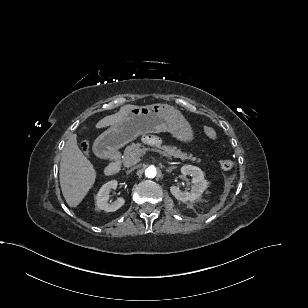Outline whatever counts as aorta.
<instances>
[{"instance_id":"aorta-1","label":"aorta","mask_w":308,"mask_h":308,"mask_svg":"<svg viewBox=\"0 0 308 308\" xmlns=\"http://www.w3.org/2000/svg\"><path fill=\"white\" fill-rule=\"evenodd\" d=\"M157 174L155 166H149L145 170V176L148 178H154Z\"/></svg>"}]
</instances>
